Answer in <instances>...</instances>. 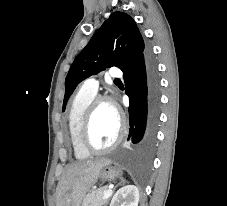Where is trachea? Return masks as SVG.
Listing matches in <instances>:
<instances>
[{
    "instance_id": "3493384b",
    "label": "trachea",
    "mask_w": 227,
    "mask_h": 206,
    "mask_svg": "<svg viewBox=\"0 0 227 206\" xmlns=\"http://www.w3.org/2000/svg\"><path fill=\"white\" fill-rule=\"evenodd\" d=\"M115 81H120V79H115Z\"/></svg>"
}]
</instances>
